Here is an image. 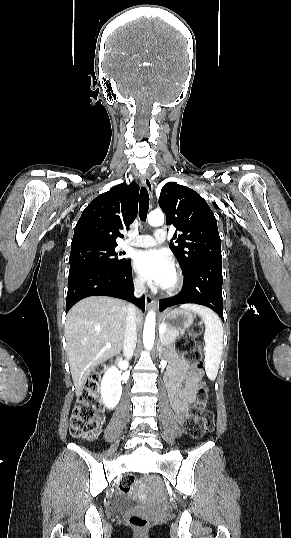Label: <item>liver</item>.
Listing matches in <instances>:
<instances>
[{"label": "liver", "mask_w": 291, "mask_h": 538, "mask_svg": "<svg viewBox=\"0 0 291 538\" xmlns=\"http://www.w3.org/2000/svg\"><path fill=\"white\" fill-rule=\"evenodd\" d=\"M128 306L116 298L92 296L68 312L65 336L76 395L81 394L84 381L97 365L120 353ZM142 320L143 314L138 311L137 322L141 324Z\"/></svg>", "instance_id": "liver-1"}]
</instances>
